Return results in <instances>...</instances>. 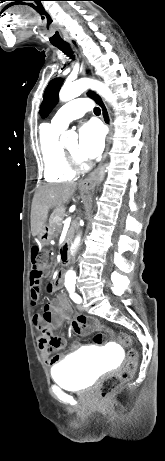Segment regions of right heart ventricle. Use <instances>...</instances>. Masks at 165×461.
<instances>
[{
	"label": "right heart ventricle",
	"mask_w": 165,
	"mask_h": 461,
	"mask_svg": "<svg viewBox=\"0 0 165 461\" xmlns=\"http://www.w3.org/2000/svg\"><path fill=\"white\" fill-rule=\"evenodd\" d=\"M61 130L52 124H44L40 128L39 148L43 160L44 178L48 182L69 181L75 176V171L68 165L59 142Z\"/></svg>",
	"instance_id": "obj_1"
}]
</instances>
